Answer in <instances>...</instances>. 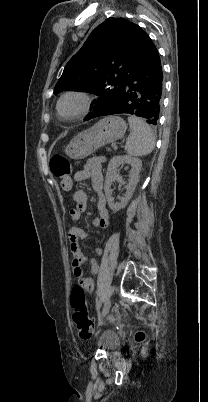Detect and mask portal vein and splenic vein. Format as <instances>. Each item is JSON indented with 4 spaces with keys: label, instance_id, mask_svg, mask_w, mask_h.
<instances>
[{
    "label": "portal vein and splenic vein",
    "instance_id": "18ae733b",
    "mask_svg": "<svg viewBox=\"0 0 208 402\" xmlns=\"http://www.w3.org/2000/svg\"><path fill=\"white\" fill-rule=\"evenodd\" d=\"M112 148H113L114 150H117V145H116V144H113V145H112Z\"/></svg>",
    "mask_w": 208,
    "mask_h": 402
}]
</instances>
